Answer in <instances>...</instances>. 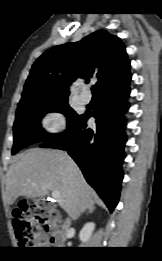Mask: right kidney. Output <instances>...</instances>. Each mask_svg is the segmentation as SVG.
<instances>
[{"label": "right kidney", "mask_w": 162, "mask_h": 261, "mask_svg": "<svg viewBox=\"0 0 162 261\" xmlns=\"http://www.w3.org/2000/svg\"><path fill=\"white\" fill-rule=\"evenodd\" d=\"M94 229L95 224L93 222L86 223L79 233L80 240L84 243L88 242Z\"/></svg>", "instance_id": "obj_1"}]
</instances>
